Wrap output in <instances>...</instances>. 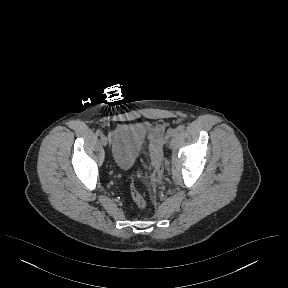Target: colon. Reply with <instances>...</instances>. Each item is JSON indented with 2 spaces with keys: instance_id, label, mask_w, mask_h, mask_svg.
<instances>
[{
  "instance_id": "colon-1",
  "label": "colon",
  "mask_w": 288,
  "mask_h": 288,
  "mask_svg": "<svg viewBox=\"0 0 288 288\" xmlns=\"http://www.w3.org/2000/svg\"><path fill=\"white\" fill-rule=\"evenodd\" d=\"M130 191H131V196L135 205L139 209H144L146 207V200L143 197V195L135 188L133 184H131Z\"/></svg>"
}]
</instances>
